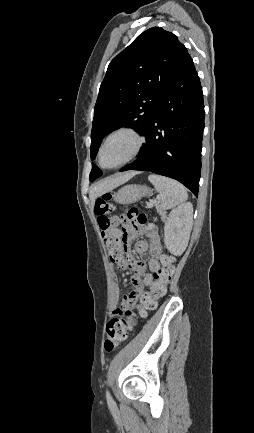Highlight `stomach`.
Masks as SVG:
<instances>
[{
    "label": "stomach",
    "instance_id": "stomach-1",
    "mask_svg": "<svg viewBox=\"0 0 254 433\" xmlns=\"http://www.w3.org/2000/svg\"><path fill=\"white\" fill-rule=\"evenodd\" d=\"M149 195H151V190L147 186L131 184L119 189L113 195V199L119 204H131Z\"/></svg>",
    "mask_w": 254,
    "mask_h": 433
}]
</instances>
